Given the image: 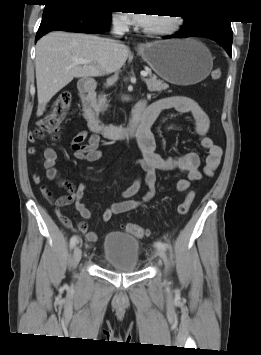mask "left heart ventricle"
I'll return each instance as SVG.
<instances>
[{"mask_svg": "<svg viewBox=\"0 0 261 355\" xmlns=\"http://www.w3.org/2000/svg\"><path fill=\"white\" fill-rule=\"evenodd\" d=\"M171 21V16L167 15H157L151 16L149 22L145 26L147 29H156L160 27L167 26Z\"/></svg>", "mask_w": 261, "mask_h": 355, "instance_id": "1", "label": "left heart ventricle"}]
</instances>
